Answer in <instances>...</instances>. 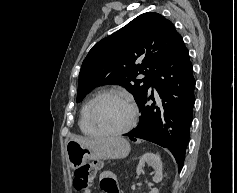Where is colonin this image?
I'll list each match as a JSON object with an SVG mask.
<instances>
[{
	"label": "colon",
	"mask_w": 237,
	"mask_h": 193,
	"mask_svg": "<svg viewBox=\"0 0 237 193\" xmlns=\"http://www.w3.org/2000/svg\"><path fill=\"white\" fill-rule=\"evenodd\" d=\"M100 167L98 162L86 163L78 167L74 173V188L77 191L87 189L92 184Z\"/></svg>",
	"instance_id": "1"
}]
</instances>
